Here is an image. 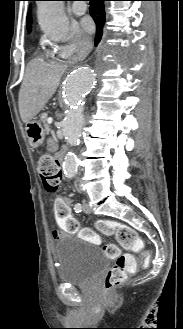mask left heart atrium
<instances>
[{
    "mask_svg": "<svg viewBox=\"0 0 183 329\" xmlns=\"http://www.w3.org/2000/svg\"><path fill=\"white\" fill-rule=\"evenodd\" d=\"M82 26H83L84 30L88 33H91L94 30V24H93L92 20L89 18H85L82 21Z\"/></svg>",
    "mask_w": 183,
    "mask_h": 329,
    "instance_id": "1",
    "label": "left heart atrium"
}]
</instances>
